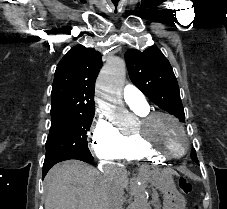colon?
<instances>
[{"label":"colon","instance_id":"1","mask_svg":"<svg viewBox=\"0 0 227 209\" xmlns=\"http://www.w3.org/2000/svg\"><path fill=\"white\" fill-rule=\"evenodd\" d=\"M179 188L182 192L188 193L191 190V184L186 179H181L179 181ZM193 209H200V206L198 204H195Z\"/></svg>","mask_w":227,"mask_h":209}]
</instances>
